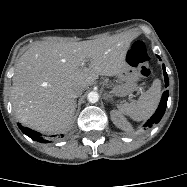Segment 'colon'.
<instances>
[{"label":"colon","mask_w":187,"mask_h":187,"mask_svg":"<svg viewBox=\"0 0 187 187\" xmlns=\"http://www.w3.org/2000/svg\"><path fill=\"white\" fill-rule=\"evenodd\" d=\"M127 61L130 65L139 68L141 77L147 78L150 75L151 59L146 46L142 41H136L133 43L127 53Z\"/></svg>","instance_id":"obj_1"}]
</instances>
